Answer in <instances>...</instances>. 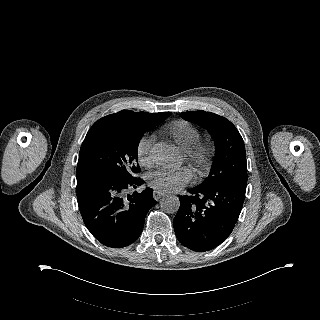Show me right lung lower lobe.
Returning a JSON list of instances; mask_svg holds the SVG:
<instances>
[{
    "label": "right lung lower lobe",
    "instance_id": "right-lung-lower-lobe-1",
    "mask_svg": "<svg viewBox=\"0 0 320 320\" xmlns=\"http://www.w3.org/2000/svg\"><path fill=\"white\" fill-rule=\"evenodd\" d=\"M144 183L98 168L77 170V200L83 221L102 244L121 248L140 236L147 212L156 204L153 189L128 194Z\"/></svg>",
    "mask_w": 320,
    "mask_h": 320
}]
</instances>
